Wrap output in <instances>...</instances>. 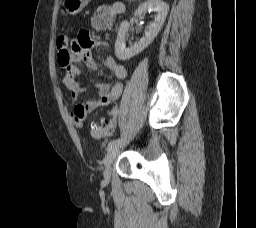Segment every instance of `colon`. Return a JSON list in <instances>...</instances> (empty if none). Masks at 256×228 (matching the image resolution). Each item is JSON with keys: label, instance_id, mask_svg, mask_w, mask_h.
<instances>
[{"label": "colon", "instance_id": "1", "mask_svg": "<svg viewBox=\"0 0 256 228\" xmlns=\"http://www.w3.org/2000/svg\"><path fill=\"white\" fill-rule=\"evenodd\" d=\"M69 44V39L65 35H60L57 38V47L58 49H66ZM108 130L107 122L94 123L91 125L90 133L93 138H100Z\"/></svg>", "mask_w": 256, "mask_h": 228}]
</instances>
